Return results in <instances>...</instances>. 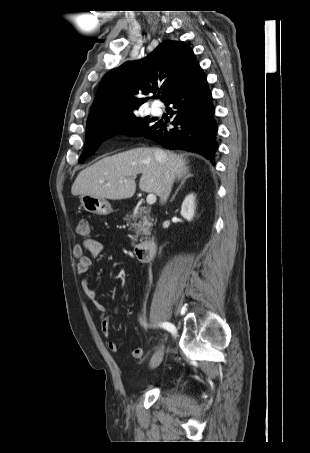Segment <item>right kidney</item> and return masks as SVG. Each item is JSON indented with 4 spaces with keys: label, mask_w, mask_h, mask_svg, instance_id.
Here are the masks:
<instances>
[{
    "label": "right kidney",
    "mask_w": 310,
    "mask_h": 453,
    "mask_svg": "<svg viewBox=\"0 0 310 453\" xmlns=\"http://www.w3.org/2000/svg\"><path fill=\"white\" fill-rule=\"evenodd\" d=\"M181 215L188 221H191L195 215V196L189 194L185 197L181 206Z\"/></svg>",
    "instance_id": "right-kidney-1"
}]
</instances>
